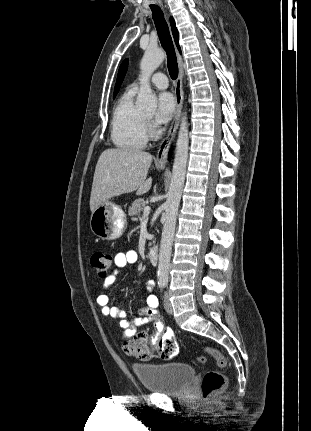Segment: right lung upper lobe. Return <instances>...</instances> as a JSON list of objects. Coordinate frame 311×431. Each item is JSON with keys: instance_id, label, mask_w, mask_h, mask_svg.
Masks as SVG:
<instances>
[{"instance_id": "obj_1", "label": "right lung upper lobe", "mask_w": 311, "mask_h": 431, "mask_svg": "<svg viewBox=\"0 0 311 431\" xmlns=\"http://www.w3.org/2000/svg\"><path fill=\"white\" fill-rule=\"evenodd\" d=\"M170 25H171L172 34H173L175 43L177 45V48H178L179 51H181L180 50V46L178 44V39H179L178 31L176 29L175 22H174V19L172 17L170 18Z\"/></svg>"}]
</instances>
